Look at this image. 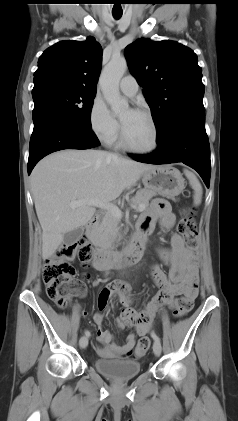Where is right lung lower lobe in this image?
<instances>
[{
	"label": "right lung lower lobe",
	"instance_id": "obj_1",
	"mask_svg": "<svg viewBox=\"0 0 238 421\" xmlns=\"http://www.w3.org/2000/svg\"><path fill=\"white\" fill-rule=\"evenodd\" d=\"M34 129L30 140L28 174L46 155L63 149H88L99 145L92 131L62 114L43 110L33 118Z\"/></svg>",
	"mask_w": 238,
	"mask_h": 421
}]
</instances>
